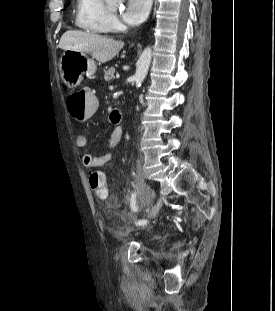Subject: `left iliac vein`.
<instances>
[{
  "mask_svg": "<svg viewBox=\"0 0 275 311\" xmlns=\"http://www.w3.org/2000/svg\"><path fill=\"white\" fill-rule=\"evenodd\" d=\"M158 213V207L154 206L148 213V218H153Z\"/></svg>",
  "mask_w": 275,
  "mask_h": 311,
  "instance_id": "left-iliac-vein-1",
  "label": "left iliac vein"
}]
</instances>
